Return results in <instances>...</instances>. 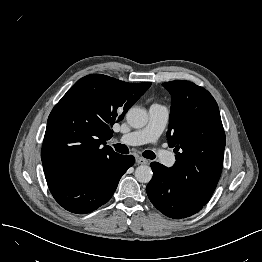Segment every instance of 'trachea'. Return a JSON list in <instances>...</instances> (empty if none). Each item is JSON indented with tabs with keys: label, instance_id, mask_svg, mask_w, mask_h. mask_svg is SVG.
<instances>
[{
	"label": "trachea",
	"instance_id": "obj_1",
	"mask_svg": "<svg viewBox=\"0 0 262 262\" xmlns=\"http://www.w3.org/2000/svg\"><path fill=\"white\" fill-rule=\"evenodd\" d=\"M113 146L115 147V150L119 153H122V154H128L129 153L128 147L124 144L118 143V144H114ZM143 156L147 159H154L155 158L154 152L149 151V150L144 151Z\"/></svg>",
	"mask_w": 262,
	"mask_h": 262
}]
</instances>
